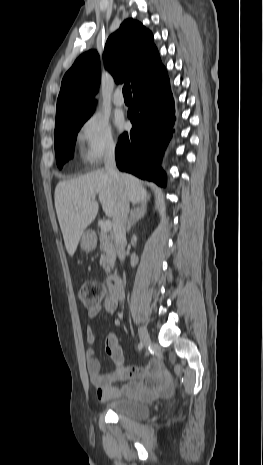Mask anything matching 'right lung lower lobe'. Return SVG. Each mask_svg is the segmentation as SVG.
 Masks as SVG:
<instances>
[{
    "label": "right lung lower lobe",
    "mask_w": 263,
    "mask_h": 465,
    "mask_svg": "<svg viewBox=\"0 0 263 465\" xmlns=\"http://www.w3.org/2000/svg\"><path fill=\"white\" fill-rule=\"evenodd\" d=\"M128 118L133 124L116 146L117 167L160 185L166 182L160 161L172 137L174 100L165 67L132 89Z\"/></svg>",
    "instance_id": "obj_1"
}]
</instances>
